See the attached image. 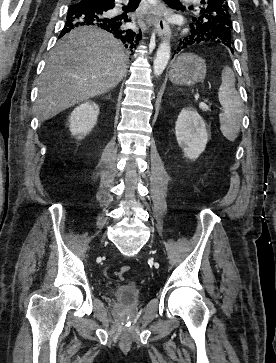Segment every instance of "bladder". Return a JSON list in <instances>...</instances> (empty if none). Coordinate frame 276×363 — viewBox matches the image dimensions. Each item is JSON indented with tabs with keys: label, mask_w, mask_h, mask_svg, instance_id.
<instances>
[{
	"label": "bladder",
	"mask_w": 276,
	"mask_h": 363,
	"mask_svg": "<svg viewBox=\"0 0 276 363\" xmlns=\"http://www.w3.org/2000/svg\"><path fill=\"white\" fill-rule=\"evenodd\" d=\"M112 295L117 301L125 305H134L139 300L140 289L135 285H122L114 288Z\"/></svg>",
	"instance_id": "1"
}]
</instances>
